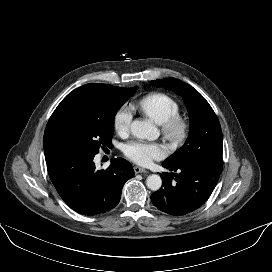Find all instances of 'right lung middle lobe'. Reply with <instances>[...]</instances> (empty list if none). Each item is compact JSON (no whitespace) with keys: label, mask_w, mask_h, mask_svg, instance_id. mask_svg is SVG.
<instances>
[{"label":"right lung middle lobe","mask_w":272,"mask_h":272,"mask_svg":"<svg viewBox=\"0 0 272 272\" xmlns=\"http://www.w3.org/2000/svg\"><path fill=\"white\" fill-rule=\"evenodd\" d=\"M137 89L132 87L127 95L116 97L103 119H64L55 123L44 146L46 163L70 156L96 155L100 147H112L115 114Z\"/></svg>","instance_id":"dd1d6c3e"}]
</instances>
